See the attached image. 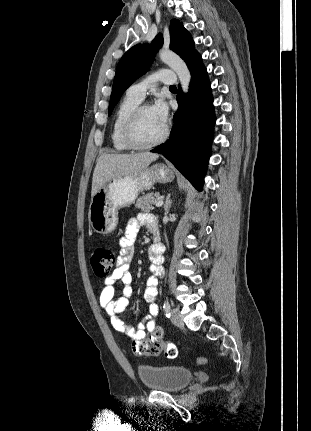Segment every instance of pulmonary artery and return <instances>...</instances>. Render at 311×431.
<instances>
[{
  "label": "pulmonary artery",
  "mask_w": 311,
  "mask_h": 431,
  "mask_svg": "<svg viewBox=\"0 0 311 431\" xmlns=\"http://www.w3.org/2000/svg\"><path fill=\"white\" fill-rule=\"evenodd\" d=\"M170 70H158L148 77L142 79L141 81L133 84L128 89L129 92L136 95L140 99H143L145 92L154 86L157 85L158 82H162L164 84H172L174 79L169 77Z\"/></svg>",
  "instance_id": "obj_1"
}]
</instances>
